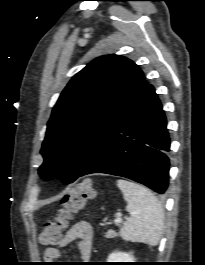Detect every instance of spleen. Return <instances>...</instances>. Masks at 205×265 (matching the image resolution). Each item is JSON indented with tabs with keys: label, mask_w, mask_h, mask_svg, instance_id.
Masks as SVG:
<instances>
[{
	"label": "spleen",
	"mask_w": 205,
	"mask_h": 265,
	"mask_svg": "<svg viewBox=\"0 0 205 265\" xmlns=\"http://www.w3.org/2000/svg\"><path fill=\"white\" fill-rule=\"evenodd\" d=\"M117 185L127 202L130 218L120 229V236L131 242L156 246L164 228L163 208L157 197L146 187L119 179Z\"/></svg>",
	"instance_id": "obj_1"
}]
</instances>
